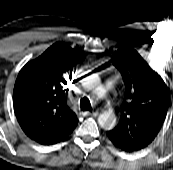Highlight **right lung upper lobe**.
Returning <instances> with one entry per match:
<instances>
[{"mask_svg": "<svg viewBox=\"0 0 173 170\" xmlns=\"http://www.w3.org/2000/svg\"><path fill=\"white\" fill-rule=\"evenodd\" d=\"M85 57L58 42L19 72L13 91L17 120L32 140L56 144L76 127L78 119L66 103L63 75Z\"/></svg>", "mask_w": 173, "mask_h": 170, "instance_id": "obj_1", "label": "right lung upper lobe"}]
</instances>
